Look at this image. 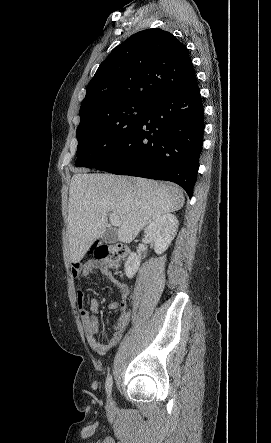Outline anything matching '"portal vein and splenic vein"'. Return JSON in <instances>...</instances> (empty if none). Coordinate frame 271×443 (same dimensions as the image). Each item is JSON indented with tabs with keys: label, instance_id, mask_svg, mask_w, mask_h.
<instances>
[{
	"label": "portal vein and splenic vein",
	"instance_id": "obj_1",
	"mask_svg": "<svg viewBox=\"0 0 271 443\" xmlns=\"http://www.w3.org/2000/svg\"><path fill=\"white\" fill-rule=\"evenodd\" d=\"M109 220H110L111 225H119V223H120L116 214H110Z\"/></svg>",
	"mask_w": 271,
	"mask_h": 443
}]
</instances>
